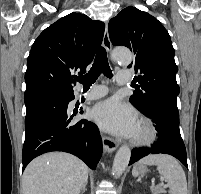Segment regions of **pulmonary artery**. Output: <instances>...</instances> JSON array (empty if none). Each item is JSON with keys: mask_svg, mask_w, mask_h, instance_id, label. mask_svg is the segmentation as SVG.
Returning a JSON list of instances; mask_svg holds the SVG:
<instances>
[{"mask_svg": "<svg viewBox=\"0 0 201 194\" xmlns=\"http://www.w3.org/2000/svg\"><path fill=\"white\" fill-rule=\"evenodd\" d=\"M131 74L128 71H119L116 76V80L121 85H126L131 82ZM108 93V89L104 85H97L94 86L88 93L85 94H78V98L85 99L87 101L95 100L105 96Z\"/></svg>", "mask_w": 201, "mask_h": 194, "instance_id": "1", "label": "pulmonary artery"}]
</instances>
